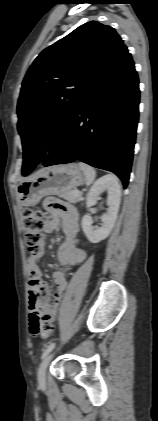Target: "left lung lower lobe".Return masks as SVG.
Returning a JSON list of instances; mask_svg holds the SVG:
<instances>
[{"label":"left lung lower lobe","mask_w":158,"mask_h":421,"mask_svg":"<svg viewBox=\"0 0 158 421\" xmlns=\"http://www.w3.org/2000/svg\"><path fill=\"white\" fill-rule=\"evenodd\" d=\"M139 98L138 75L123 45L77 104L50 147L43 166L79 159L115 173L127 187Z\"/></svg>","instance_id":"1"}]
</instances>
